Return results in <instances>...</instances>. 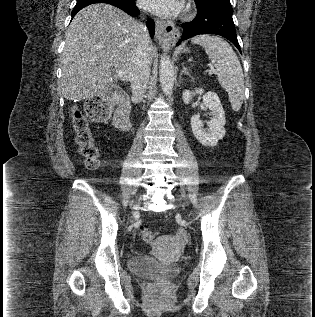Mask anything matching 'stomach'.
<instances>
[{"label":"stomach","mask_w":315,"mask_h":317,"mask_svg":"<svg viewBox=\"0 0 315 317\" xmlns=\"http://www.w3.org/2000/svg\"><path fill=\"white\" fill-rule=\"evenodd\" d=\"M183 52L187 53V52H189V49L188 48H183Z\"/></svg>","instance_id":"1"}]
</instances>
